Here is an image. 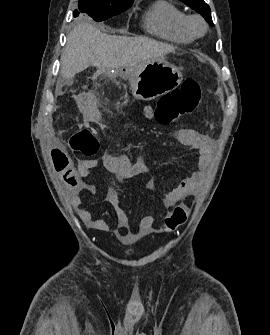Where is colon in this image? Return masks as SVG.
<instances>
[{
	"label": "colon",
	"mask_w": 270,
	"mask_h": 335,
	"mask_svg": "<svg viewBox=\"0 0 270 335\" xmlns=\"http://www.w3.org/2000/svg\"><path fill=\"white\" fill-rule=\"evenodd\" d=\"M200 87L195 81L188 79L175 89L163 94L155 107L147 104L145 114L162 126H168L183 115L193 111L200 100ZM69 147L86 158H92L99 153L100 143L96 135L89 129L83 128L72 133ZM187 219V210L177 205L173 213L165 219L166 227L175 229Z\"/></svg>",
	"instance_id": "obj_1"
}]
</instances>
